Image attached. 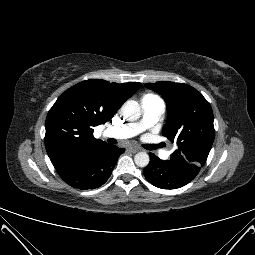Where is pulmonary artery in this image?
<instances>
[{"mask_svg": "<svg viewBox=\"0 0 255 255\" xmlns=\"http://www.w3.org/2000/svg\"><path fill=\"white\" fill-rule=\"evenodd\" d=\"M141 106L143 109V117L139 122L108 128L104 133L105 136L116 139L131 138L144 129L154 125L165 110L163 100L157 96L142 99Z\"/></svg>", "mask_w": 255, "mask_h": 255, "instance_id": "e3ab8cb5", "label": "pulmonary artery"}]
</instances>
